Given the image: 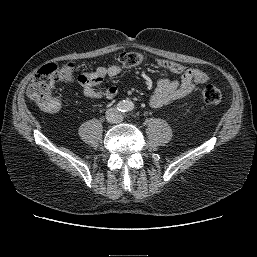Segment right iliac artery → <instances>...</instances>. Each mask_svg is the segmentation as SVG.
Instances as JSON below:
<instances>
[{"instance_id": "right-iliac-artery-1", "label": "right iliac artery", "mask_w": 257, "mask_h": 257, "mask_svg": "<svg viewBox=\"0 0 257 257\" xmlns=\"http://www.w3.org/2000/svg\"><path fill=\"white\" fill-rule=\"evenodd\" d=\"M119 108H120V109H123V105H122V104H119Z\"/></svg>"}]
</instances>
